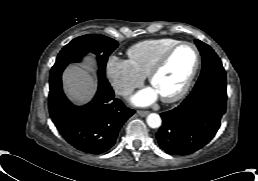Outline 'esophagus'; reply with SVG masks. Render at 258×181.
Masks as SVG:
<instances>
[{
	"instance_id": "34e87169",
	"label": "esophagus",
	"mask_w": 258,
	"mask_h": 181,
	"mask_svg": "<svg viewBox=\"0 0 258 181\" xmlns=\"http://www.w3.org/2000/svg\"><path fill=\"white\" fill-rule=\"evenodd\" d=\"M137 113H138L140 116H146V115L149 114V111L139 110V111H137Z\"/></svg>"
}]
</instances>
